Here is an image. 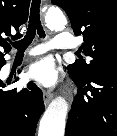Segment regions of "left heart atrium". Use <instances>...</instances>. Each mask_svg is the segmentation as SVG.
<instances>
[{
    "label": "left heart atrium",
    "instance_id": "1",
    "mask_svg": "<svg viewBox=\"0 0 117 136\" xmlns=\"http://www.w3.org/2000/svg\"><path fill=\"white\" fill-rule=\"evenodd\" d=\"M29 76L43 86L52 87L59 82L60 70L52 58L46 57L30 66Z\"/></svg>",
    "mask_w": 117,
    "mask_h": 136
}]
</instances>
